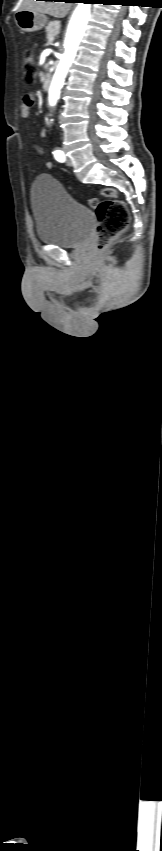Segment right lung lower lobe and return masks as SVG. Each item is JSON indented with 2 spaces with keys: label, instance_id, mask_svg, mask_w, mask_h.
Wrapping results in <instances>:
<instances>
[{
  "label": "right lung lower lobe",
  "instance_id": "1",
  "mask_svg": "<svg viewBox=\"0 0 162 851\" xmlns=\"http://www.w3.org/2000/svg\"><path fill=\"white\" fill-rule=\"evenodd\" d=\"M45 1H56V0H45ZM65 2H77V0H64ZM87 2H93V0H84Z\"/></svg>",
  "mask_w": 162,
  "mask_h": 851
}]
</instances>
